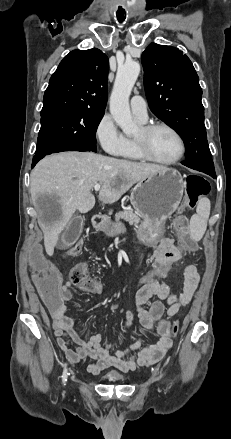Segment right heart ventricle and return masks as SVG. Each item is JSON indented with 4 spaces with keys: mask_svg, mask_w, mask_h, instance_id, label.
Instances as JSON below:
<instances>
[{
    "mask_svg": "<svg viewBox=\"0 0 231 439\" xmlns=\"http://www.w3.org/2000/svg\"><path fill=\"white\" fill-rule=\"evenodd\" d=\"M122 157L132 160V161H140L142 157L136 150L133 139L126 138V147L124 152L121 154Z\"/></svg>",
    "mask_w": 231,
    "mask_h": 439,
    "instance_id": "1",
    "label": "right heart ventricle"
}]
</instances>
